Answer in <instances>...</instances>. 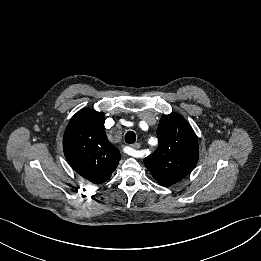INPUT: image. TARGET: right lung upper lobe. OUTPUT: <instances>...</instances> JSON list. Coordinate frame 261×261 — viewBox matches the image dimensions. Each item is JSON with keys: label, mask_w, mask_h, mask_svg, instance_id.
Wrapping results in <instances>:
<instances>
[{"label": "right lung upper lobe", "mask_w": 261, "mask_h": 261, "mask_svg": "<svg viewBox=\"0 0 261 261\" xmlns=\"http://www.w3.org/2000/svg\"><path fill=\"white\" fill-rule=\"evenodd\" d=\"M102 112L82 109L70 120L64 136V155L71 167L95 184L107 181L121 155L107 139Z\"/></svg>", "instance_id": "obj_1"}]
</instances>
